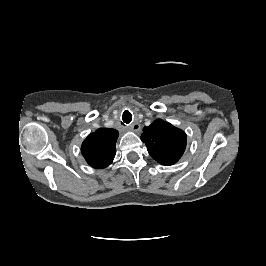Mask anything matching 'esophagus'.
Listing matches in <instances>:
<instances>
[{
    "instance_id": "1",
    "label": "esophagus",
    "mask_w": 266,
    "mask_h": 266,
    "mask_svg": "<svg viewBox=\"0 0 266 266\" xmlns=\"http://www.w3.org/2000/svg\"><path fill=\"white\" fill-rule=\"evenodd\" d=\"M129 128H130V130H132L134 132H139L141 129V126L139 123H134Z\"/></svg>"
}]
</instances>
